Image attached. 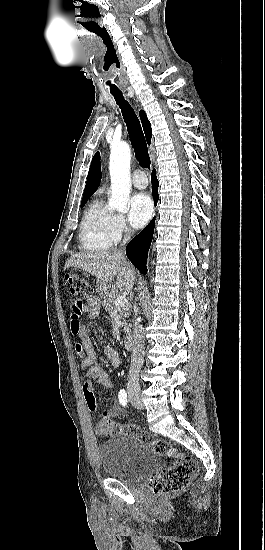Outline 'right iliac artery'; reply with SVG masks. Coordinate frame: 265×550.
<instances>
[{"label": "right iliac artery", "instance_id": "right-iliac-artery-1", "mask_svg": "<svg viewBox=\"0 0 265 550\" xmlns=\"http://www.w3.org/2000/svg\"><path fill=\"white\" fill-rule=\"evenodd\" d=\"M119 402L121 405L126 406L127 405V393L124 389L120 390L118 394Z\"/></svg>", "mask_w": 265, "mask_h": 550}]
</instances>
